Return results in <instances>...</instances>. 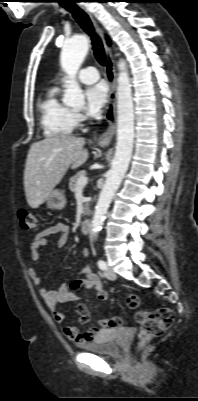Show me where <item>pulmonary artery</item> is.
Listing matches in <instances>:
<instances>
[{"label": "pulmonary artery", "mask_w": 198, "mask_h": 401, "mask_svg": "<svg viewBox=\"0 0 198 401\" xmlns=\"http://www.w3.org/2000/svg\"><path fill=\"white\" fill-rule=\"evenodd\" d=\"M99 72L94 67H87L80 71L78 78L82 83L92 84L99 79Z\"/></svg>", "instance_id": "e3ab8cb5"}]
</instances>
